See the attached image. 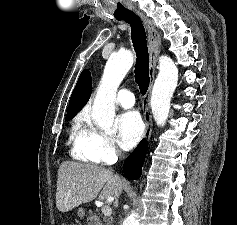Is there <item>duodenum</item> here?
<instances>
[{
    "instance_id": "410a0bca",
    "label": "duodenum",
    "mask_w": 237,
    "mask_h": 225,
    "mask_svg": "<svg viewBox=\"0 0 237 225\" xmlns=\"http://www.w3.org/2000/svg\"><path fill=\"white\" fill-rule=\"evenodd\" d=\"M91 225H102L98 219H93Z\"/></svg>"
}]
</instances>
